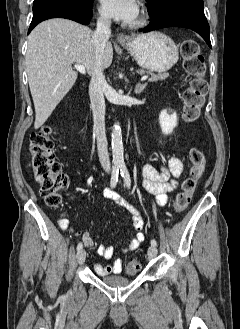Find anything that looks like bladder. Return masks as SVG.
<instances>
[{"label": "bladder", "mask_w": 240, "mask_h": 329, "mask_svg": "<svg viewBox=\"0 0 240 329\" xmlns=\"http://www.w3.org/2000/svg\"><path fill=\"white\" fill-rule=\"evenodd\" d=\"M131 278L113 275L102 279L103 283L113 287L125 286L131 282Z\"/></svg>", "instance_id": "obj_1"}]
</instances>
